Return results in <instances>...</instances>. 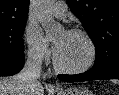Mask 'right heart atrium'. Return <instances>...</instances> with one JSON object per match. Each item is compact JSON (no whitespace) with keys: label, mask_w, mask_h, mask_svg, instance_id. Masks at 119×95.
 I'll use <instances>...</instances> for the list:
<instances>
[{"label":"right heart atrium","mask_w":119,"mask_h":95,"mask_svg":"<svg viewBox=\"0 0 119 95\" xmlns=\"http://www.w3.org/2000/svg\"><path fill=\"white\" fill-rule=\"evenodd\" d=\"M24 41L27 48V56L32 63L41 65L49 59V48L36 26L30 24L26 27Z\"/></svg>","instance_id":"obj_1"}]
</instances>
